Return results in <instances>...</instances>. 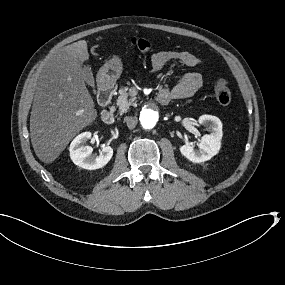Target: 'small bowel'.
<instances>
[{
  "label": "small bowel",
  "instance_id": "obj_1",
  "mask_svg": "<svg viewBox=\"0 0 285 285\" xmlns=\"http://www.w3.org/2000/svg\"><path fill=\"white\" fill-rule=\"evenodd\" d=\"M178 61L184 66L195 68L201 60L188 51L164 50L156 52L151 57V71H160L167 63ZM202 86V76L197 72H188L171 88L161 90L162 93L169 95L171 99L189 98Z\"/></svg>",
  "mask_w": 285,
  "mask_h": 285
}]
</instances>
